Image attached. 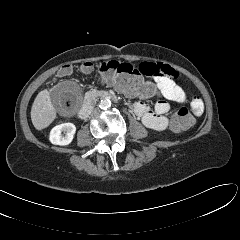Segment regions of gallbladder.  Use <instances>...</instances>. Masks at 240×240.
<instances>
[{
  "label": "gallbladder",
  "mask_w": 240,
  "mask_h": 240,
  "mask_svg": "<svg viewBox=\"0 0 240 240\" xmlns=\"http://www.w3.org/2000/svg\"><path fill=\"white\" fill-rule=\"evenodd\" d=\"M68 85L69 84L67 82L61 84L59 87H57L55 90H53V92L51 93V97H53L55 95V93H57L58 91L64 90L66 87H68ZM53 104H54V102H53Z\"/></svg>",
  "instance_id": "obj_1"
}]
</instances>
